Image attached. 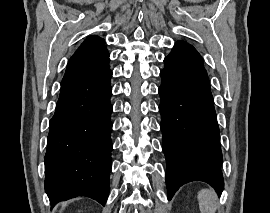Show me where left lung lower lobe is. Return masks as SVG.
Listing matches in <instances>:
<instances>
[{
	"instance_id": "obj_1",
	"label": "left lung lower lobe",
	"mask_w": 270,
	"mask_h": 213,
	"mask_svg": "<svg viewBox=\"0 0 270 213\" xmlns=\"http://www.w3.org/2000/svg\"><path fill=\"white\" fill-rule=\"evenodd\" d=\"M160 76V127L168 200L191 181L206 182L221 194L220 133L206 70L164 68Z\"/></svg>"
}]
</instances>
